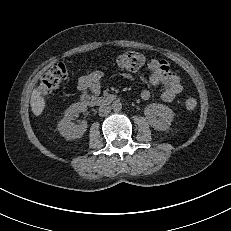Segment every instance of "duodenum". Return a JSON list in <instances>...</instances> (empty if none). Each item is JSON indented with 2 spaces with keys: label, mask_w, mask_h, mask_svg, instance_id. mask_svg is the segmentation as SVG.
<instances>
[{
  "label": "duodenum",
  "mask_w": 231,
  "mask_h": 231,
  "mask_svg": "<svg viewBox=\"0 0 231 231\" xmlns=\"http://www.w3.org/2000/svg\"><path fill=\"white\" fill-rule=\"evenodd\" d=\"M116 99L117 97L113 94H107L104 96H96V95L86 93L82 95L81 102L86 106L94 107V106L109 105Z\"/></svg>",
  "instance_id": "obj_1"
}]
</instances>
